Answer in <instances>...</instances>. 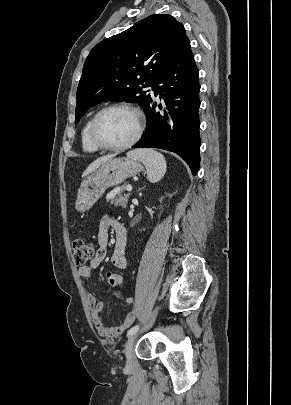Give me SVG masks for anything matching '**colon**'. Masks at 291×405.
Here are the masks:
<instances>
[{
    "label": "colon",
    "instance_id": "colon-1",
    "mask_svg": "<svg viewBox=\"0 0 291 405\" xmlns=\"http://www.w3.org/2000/svg\"><path fill=\"white\" fill-rule=\"evenodd\" d=\"M94 249L92 245L83 239H76L73 241V256L74 263L78 267H83L92 259ZM106 279L113 287H118L122 283V277L115 271L109 270L106 272Z\"/></svg>",
    "mask_w": 291,
    "mask_h": 405
}]
</instances>
